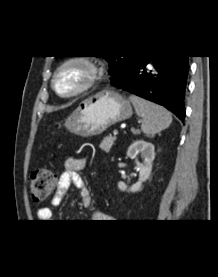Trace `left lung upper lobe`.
<instances>
[{"label":"left lung upper lobe","mask_w":218,"mask_h":277,"mask_svg":"<svg viewBox=\"0 0 218 277\" xmlns=\"http://www.w3.org/2000/svg\"><path fill=\"white\" fill-rule=\"evenodd\" d=\"M104 57L110 66L109 74L113 78L116 74L120 73L132 56H101Z\"/></svg>","instance_id":"1"}]
</instances>
